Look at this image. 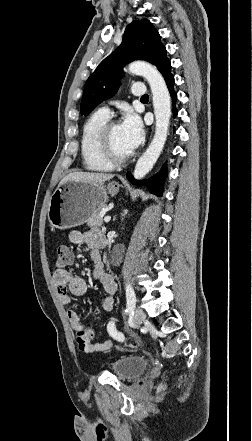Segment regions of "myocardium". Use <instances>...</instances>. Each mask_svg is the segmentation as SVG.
<instances>
[{
    "mask_svg": "<svg viewBox=\"0 0 252 441\" xmlns=\"http://www.w3.org/2000/svg\"><path fill=\"white\" fill-rule=\"evenodd\" d=\"M116 121H107L100 129L97 136V150L101 158L112 167L123 166L130 158V155L117 157L112 153L109 136L113 127L118 126Z\"/></svg>",
    "mask_w": 252,
    "mask_h": 441,
    "instance_id": "obj_1",
    "label": "myocardium"
}]
</instances>
